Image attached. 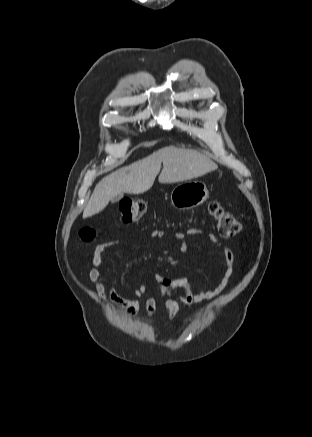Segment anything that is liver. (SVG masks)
I'll return each mask as SVG.
<instances>
[{
  "label": "liver",
  "instance_id": "liver-1",
  "mask_svg": "<svg viewBox=\"0 0 312 437\" xmlns=\"http://www.w3.org/2000/svg\"><path fill=\"white\" fill-rule=\"evenodd\" d=\"M161 163L163 170L158 178L160 183L190 180L218 168L208 156L196 150L164 147L100 180L84 209L83 218L101 212L118 195L141 194L148 191L160 172Z\"/></svg>",
  "mask_w": 312,
  "mask_h": 437
}]
</instances>
